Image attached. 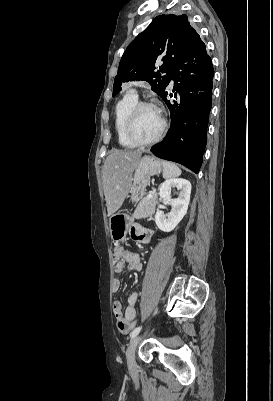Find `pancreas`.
Here are the masks:
<instances>
[{"label":"pancreas","instance_id":"pancreas-1","mask_svg":"<svg viewBox=\"0 0 273 401\" xmlns=\"http://www.w3.org/2000/svg\"><path fill=\"white\" fill-rule=\"evenodd\" d=\"M152 198L147 200L146 198H142L139 205H137L134 215H132L133 219H146V217H152L155 213L156 201H157V192H152Z\"/></svg>","mask_w":273,"mask_h":401}]
</instances>
